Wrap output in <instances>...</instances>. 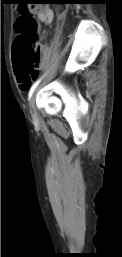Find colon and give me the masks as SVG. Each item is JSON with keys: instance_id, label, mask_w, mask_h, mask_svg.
Here are the masks:
<instances>
[{"instance_id": "colon-1", "label": "colon", "mask_w": 122, "mask_h": 257, "mask_svg": "<svg viewBox=\"0 0 122 257\" xmlns=\"http://www.w3.org/2000/svg\"><path fill=\"white\" fill-rule=\"evenodd\" d=\"M20 14L15 23L17 36L13 42L12 57L18 76L27 80L35 75L41 61L38 44L37 23L27 10H35V5H15Z\"/></svg>"}]
</instances>
